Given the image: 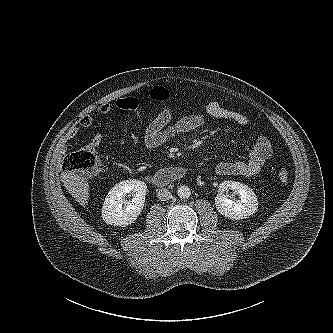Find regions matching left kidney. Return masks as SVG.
I'll list each match as a JSON object with an SVG mask.
<instances>
[{
    "instance_id": "obj_1",
    "label": "left kidney",
    "mask_w": 333,
    "mask_h": 333,
    "mask_svg": "<svg viewBox=\"0 0 333 333\" xmlns=\"http://www.w3.org/2000/svg\"><path fill=\"white\" fill-rule=\"evenodd\" d=\"M233 190L239 194L240 200L229 199L224 191ZM215 206L220 214L229 219H245L258 209L255 193L247 185L236 181H224L219 185V192L215 197Z\"/></svg>"
}]
</instances>
